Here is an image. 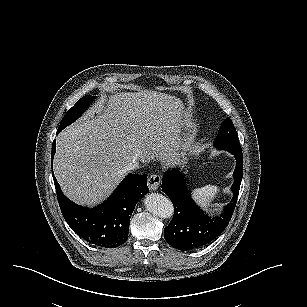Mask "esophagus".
<instances>
[{
    "label": "esophagus",
    "mask_w": 307,
    "mask_h": 307,
    "mask_svg": "<svg viewBox=\"0 0 307 307\" xmlns=\"http://www.w3.org/2000/svg\"><path fill=\"white\" fill-rule=\"evenodd\" d=\"M161 176L158 174H151L147 181V186L151 191L159 189L161 184Z\"/></svg>",
    "instance_id": "1"
}]
</instances>
